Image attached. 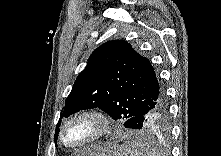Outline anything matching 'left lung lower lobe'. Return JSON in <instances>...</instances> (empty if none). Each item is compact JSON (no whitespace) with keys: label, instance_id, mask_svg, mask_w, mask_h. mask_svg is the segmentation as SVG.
<instances>
[{"label":"left lung lower lobe","instance_id":"0a47b994","mask_svg":"<svg viewBox=\"0 0 221 156\" xmlns=\"http://www.w3.org/2000/svg\"><path fill=\"white\" fill-rule=\"evenodd\" d=\"M123 125L130 129L169 132V105L165 90H162L161 97L155 105L145 112L129 118Z\"/></svg>","mask_w":221,"mask_h":156}]
</instances>
